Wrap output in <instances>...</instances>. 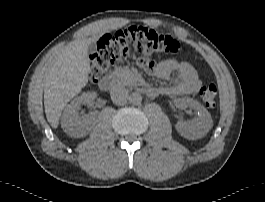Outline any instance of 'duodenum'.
I'll return each instance as SVG.
<instances>
[{"mask_svg":"<svg viewBox=\"0 0 265 202\" xmlns=\"http://www.w3.org/2000/svg\"><path fill=\"white\" fill-rule=\"evenodd\" d=\"M115 77L105 76L99 81V88L104 91H110L115 87ZM141 92L146 95H154L157 91L153 87L144 86L141 88Z\"/></svg>","mask_w":265,"mask_h":202,"instance_id":"obj_1","label":"duodenum"}]
</instances>
